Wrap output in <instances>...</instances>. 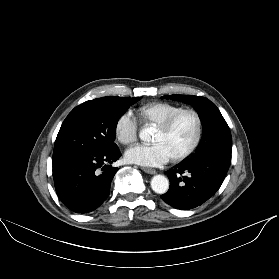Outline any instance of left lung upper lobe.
Instances as JSON below:
<instances>
[{"mask_svg":"<svg viewBox=\"0 0 279 279\" xmlns=\"http://www.w3.org/2000/svg\"><path fill=\"white\" fill-rule=\"evenodd\" d=\"M162 98L191 104L202 122V138L196 152L189 159L216 156L231 162L232 137L219 109L209 99L201 96L166 95Z\"/></svg>","mask_w":279,"mask_h":279,"instance_id":"1","label":"left lung upper lobe"}]
</instances>
